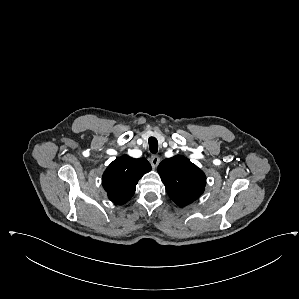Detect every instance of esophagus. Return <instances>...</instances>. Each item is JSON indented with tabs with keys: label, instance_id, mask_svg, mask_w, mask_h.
<instances>
[{
	"label": "esophagus",
	"instance_id": "34e87169",
	"mask_svg": "<svg viewBox=\"0 0 299 299\" xmlns=\"http://www.w3.org/2000/svg\"><path fill=\"white\" fill-rule=\"evenodd\" d=\"M150 162L153 167H156L160 163V157L153 155L150 159Z\"/></svg>",
	"mask_w": 299,
	"mask_h": 299
}]
</instances>
